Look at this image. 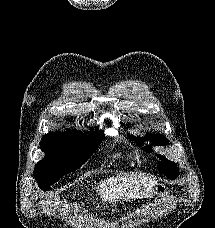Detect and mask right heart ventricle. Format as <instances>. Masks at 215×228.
<instances>
[{"mask_svg":"<svg viewBox=\"0 0 215 228\" xmlns=\"http://www.w3.org/2000/svg\"><path fill=\"white\" fill-rule=\"evenodd\" d=\"M117 156L123 159H132V153L126 149H120L117 151Z\"/></svg>","mask_w":215,"mask_h":228,"instance_id":"right-heart-ventricle-1","label":"right heart ventricle"}]
</instances>
